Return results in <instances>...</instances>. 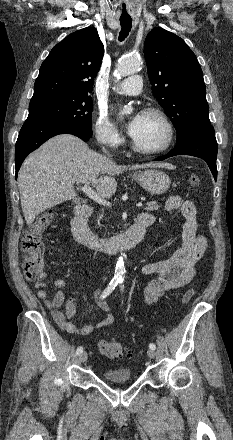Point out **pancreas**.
I'll return each mask as SVG.
<instances>
[{"label": "pancreas", "instance_id": "pancreas-1", "mask_svg": "<svg viewBox=\"0 0 233 440\" xmlns=\"http://www.w3.org/2000/svg\"><path fill=\"white\" fill-rule=\"evenodd\" d=\"M160 208V206L157 204L156 201H151L146 204V207L144 208L146 211H157Z\"/></svg>", "mask_w": 233, "mask_h": 440}]
</instances>
